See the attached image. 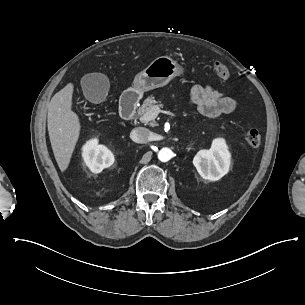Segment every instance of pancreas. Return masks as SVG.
Returning a JSON list of instances; mask_svg holds the SVG:
<instances>
[{
    "instance_id": "obj_1",
    "label": "pancreas",
    "mask_w": 305,
    "mask_h": 305,
    "mask_svg": "<svg viewBox=\"0 0 305 305\" xmlns=\"http://www.w3.org/2000/svg\"><path fill=\"white\" fill-rule=\"evenodd\" d=\"M158 102L154 99L153 96H149L146 98L142 104L141 107L138 108L137 110V116L142 117L143 115H148L152 122L150 123L151 126H156V122L154 121L155 116L151 114V108L154 106V104H157ZM146 122L147 121H143Z\"/></svg>"
}]
</instances>
